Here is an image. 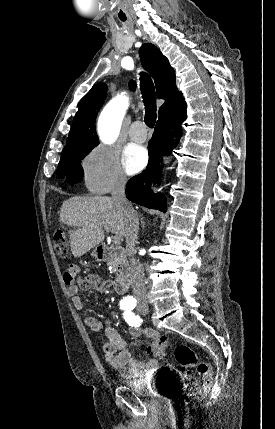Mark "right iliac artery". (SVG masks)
<instances>
[{
	"label": "right iliac artery",
	"mask_w": 275,
	"mask_h": 429,
	"mask_svg": "<svg viewBox=\"0 0 275 429\" xmlns=\"http://www.w3.org/2000/svg\"><path fill=\"white\" fill-rule=\"evenodd\" d=\"M122 308H126V306H122Z\"/></svg>",
	"instance_id": "right-iliac-artery-1"
}]
</instances>
